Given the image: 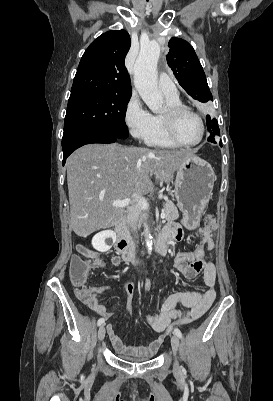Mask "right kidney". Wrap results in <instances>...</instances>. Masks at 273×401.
Listing matches in <instances>:
<instances>
[{
	"label": "right kidney",
	"mask_w": 273,
	"mask_h": 401,
	"mask_svg": "<svg viewBox=\"0 0 273 401\" xmlns=\"http://www.w3.org/2000/svg\"><path fill=\"white\" fill-rule=\"evenodd\" d=\"M115 241L116 233H114V231H101V233L94 235L91 243L92 247H94L96 251H100V253H106V251L111 249Z\"/></svg>",
	"instance_id": "obj_1"
}]
</instances>
